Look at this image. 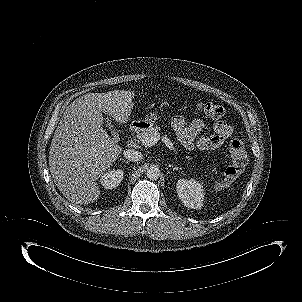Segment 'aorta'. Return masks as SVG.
<instances>
[{"label": "aorta", "instance_id": "1", "mask_svg": "<svg viewBox=\"0 0 302 302\" xmlns=\"http://www.w3.org/2000/svg\"><path fill=\"white\" fill-rule=\"evenodd\" d=\"M146 176L150 180H156L160 177V169L156 165H151L146 170Z\"/></svg>", "mask_w": 302, "mask_h": 302}]
</instances>
